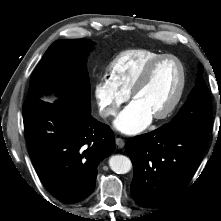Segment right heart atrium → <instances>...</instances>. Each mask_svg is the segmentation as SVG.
I'll return each instance as SVG.
<instances>
[{
  "label": "right heart atrium",
  "instance_id": "1",
  "mask_svg": "<svg viewBox=\"0 0 221 221\" xmlns=\"http://www.w3.org/2000/svg\"><path fill=\"white\" fill-rule=\"evenodd\" d=\"M94 97L99 113L104 118L115 116L125 103L129 94L122 91L110 78L101 77L94 84Z\"/></svg>",
  "mask_w": 221,
  "mask_h": 221
}]
</instances>
